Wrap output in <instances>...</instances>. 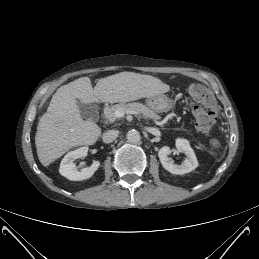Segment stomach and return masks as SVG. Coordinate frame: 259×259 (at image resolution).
Returning a JSON list of instances; mask_svg holds the SVG:
<instances>
[{
	"label": "stomach",
	"instance_id": "1",
	"mask_svg": "<svg viewBox=\"0 0 259 259\" xmlns=\"http://www.w3.org/2000/svg\"><path fill=\"white\" fill-rule=\"evenodd\" d=\"M147 105L156 112H167L170 110L172 101L166 95L148 97Z\"/></svg>",
	"mask_w": 259,
	"mask_h": 259
}]
</instances>
